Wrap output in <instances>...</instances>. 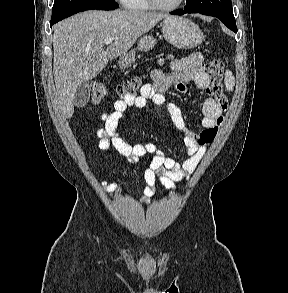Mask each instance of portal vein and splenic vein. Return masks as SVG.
<instances>
[{
    "mask_svg": "<svg viewBox=\"0 0 288 293\" xmlns=\"http://www.w3.org/2000/svg\"><path fill=\"white\" fill-rule=\"evenodd\" d=\"M113 40H114V38H106V39L104 40V44L109 45V44L112 43Z\"/></svg>",
    "mask_w": 288,
    "mask_h": 293,
    "instance_id": "portal-vein-and-splenic-vein-1",
    "label": "portal vein and splenic vein"
}]
</instances>
